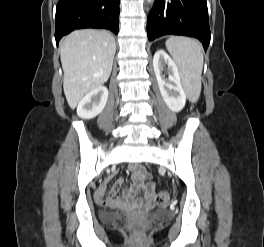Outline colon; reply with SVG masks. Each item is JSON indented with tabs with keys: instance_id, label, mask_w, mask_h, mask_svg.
Wrapping results in <instances>:
<instances>
[{
	"instance_id": "5ec220e1",
	"label": "colon",
	"mask_w": 264,
	"mask_h": 247,
	"mask_svg": "<svg viewBox=\"0 0 264 247\" xmlns=\"http://www.w3.org/2000/svg\"><path fill=\"white\" fill-rule=\"evenodd\" d=\"M147 184V181H144ZM170 199V194L167 191H160L156 194L155 201L158 205L166 204Z\"/></svg>"
}]
</instances>
